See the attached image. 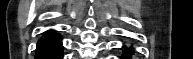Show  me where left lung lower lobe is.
<instances>
[{"instance_id":"0a47b994","label":"left lung lower lobe","mask_w":193,"mask_h":59,"mask_svg":"<svg viewBox=\"0 0 193 59\" xmlns=\"http://www.w3.org/2000/svg\"><path fill=\"white\" fill-rule=\"evenodd\" d=\"M133 53H134V51H132L131 48L125 47V50L122 54L123 59H131V56Z\"/></svg>"}]
</instances>
